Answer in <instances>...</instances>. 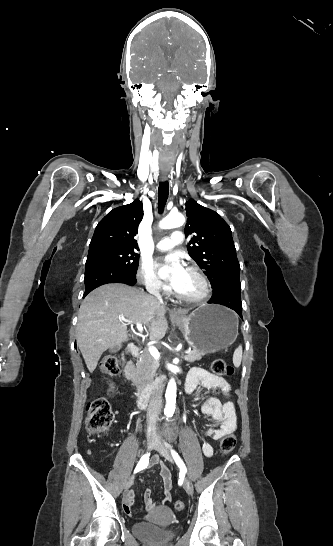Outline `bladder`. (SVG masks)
<instances>
[{
	"label": "bladder",
	"mask_w": 333,
	"mask_h": 546,
	"mask_svg": "<svg viewBox=\"0 0 333 546\" xmlns=\"http://www.w3.org/2000/svg\"><path fill=\"white\" fill-rule=\"evenodd\" d=\"M133 534L145 541L166 542L175 536V531L170 528H162L152 523H136L132 527Z\"/></svg>",
	"instance_id": "1"
}]
</instances>
